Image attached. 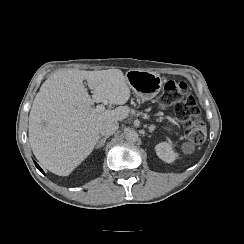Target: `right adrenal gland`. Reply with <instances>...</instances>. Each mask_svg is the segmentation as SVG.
<instances>
[{
  "instance_id": "1",
  "label": "right adrenal gland",
  "mask_w": 244,
  "mask_h": 244,
  "mask_svg": "<svg viewBox=\"0 0 244 244\" xmlns=\"http://www.w3.org/2000/svg\"><path fill=\"white\" fill-rule=\"evenodd\" d=\"M107 139L108 137L102 138L101 136H99V140L97 141L96 148L103 147Z\"/></svg>"
}]
</instances>
